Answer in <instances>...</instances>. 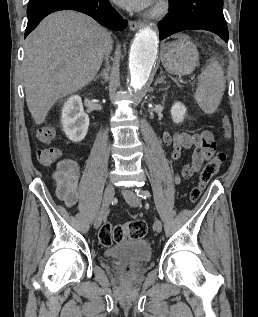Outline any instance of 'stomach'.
I'll use <instances>...</instances> for the list:
<instances>
[{
  "instance_id": "0dacf381",
  "label": "stomach",
  "mask_w": 258,
  "mask_h": 317,
  "mask_svg": "<svg viewBox=\"0 0 258 317\" xmlns=\"http://www.w3.org/2000/svg\"><path fill=\"white\" fill-rule=\"evenodd\" d=\"M161 62L171 74H191L199 60V50L189 36H178V40L165 42L161 46Z\"/></svg>"
}]
</instances>
